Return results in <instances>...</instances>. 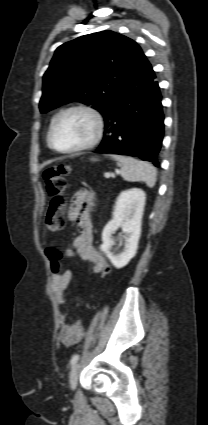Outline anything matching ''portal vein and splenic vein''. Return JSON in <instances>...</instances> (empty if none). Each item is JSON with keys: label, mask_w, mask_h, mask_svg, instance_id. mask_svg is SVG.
I'll use <instances>...</instances> for the list:
<instances>
[{"label": "portal vein and splenic vein", "mask_w": 208, "mask_h": 425, "mask_svg": "<svg viewBox=\"0 0 208 425\" xmlns=\"http://www.w3.org/2000/svg\"><path fill=\"white\" fill-rule=\"evenodd\" d=\"M104 177H105V178H110V177H111V173L106 172V173L104 174Z\"/></svg>", "instance_id": "portal-vein-and-splenic-vein-1"}]
</instances>
